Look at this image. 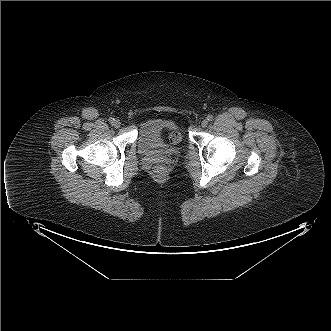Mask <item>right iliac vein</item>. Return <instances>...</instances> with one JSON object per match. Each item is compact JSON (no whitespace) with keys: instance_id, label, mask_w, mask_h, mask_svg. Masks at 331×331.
<instances>
[{"instance_id":"63e3f726","label":"right iliac vein","mask_w":331,"mask_h":331,"mask_svg":"<svg viewBox=\"0 0 331 331\" xmlns=\"http://www.w3.org/2000/svg\"><path fill=\"white\" fill-rule=\"evenodd\" d=\"M113 126L115 128H119L121 126V122L119 120H115L114 123H113Z\"/></svg>"}]
</instances>
